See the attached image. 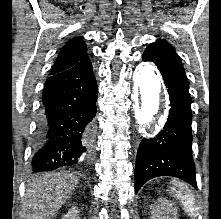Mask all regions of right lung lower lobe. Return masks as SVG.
Wrapping results in <instances>:
<instances>
[{
	"label": "right lung lower lobe",
	"instance_id": "obj_1",
	"mask_svg": "<svg viewBox=\"0 0 221 219\" xmlns=\"http://www.w3.org/2000/svg\"><path fill=\"white\" fill-rule=\"evenodd\" d=\"M97 95L89 57L46 80L32 172L69 167L92 158L91 122L96 115Z\"/></svg>",
	"mask_w": 221,
	"mask_h": 219
}]
</instances>
